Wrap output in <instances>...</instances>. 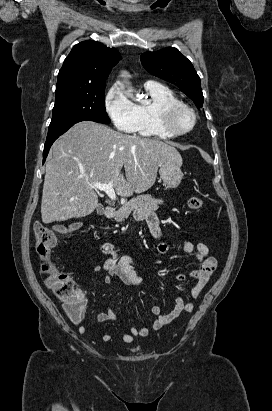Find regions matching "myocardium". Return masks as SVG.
Here are the masks:
<instances>
[{
  "label": "myocardium",
  "instance_id": "obj_1",
  "mask_svg": "<svg viewBox=\"0 0 272 411\" xmlns=\"http://www.w3.org/2000/svg\"><path fill=\"white\" fill-rule=\"evenodd\" d=\"M186 111L191 116V123L184 129H179L175 125V116ZM158 122L161 129L169 137L183 136L191 132L197 123V114L192 107L182 101L170 102L161 106L158 110Z\"/></svg>",
  "mask_w": 272,
  "mask_h": 411
}]
</instances>
